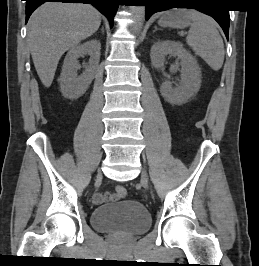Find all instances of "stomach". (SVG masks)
<instances>
[{"label": "stomach", "mask_w": 259, "mask_h": 266, "mask_svg": "<svg viewBox=\"0 0 259 266\" xmlns=\"http://www.w3.org/2000/svg\"><path fill=\"white\" fill-rule=\"evenodd\" d=\"M191 19L184 9H173L161 14L158 24L161 27L184 28L190 24Z\"/></svg>", "instance_id": "1"}]
</instances>
